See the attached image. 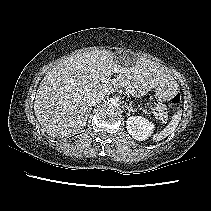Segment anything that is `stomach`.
I'll return each mask as SVG.
<instances>
[{"label":"stomach","instance_id":"obj_1","mask_svg":"<svg viewBox=\"0 0 211 211\" xmlns=\"http://www.w3.org/2000/svg\"><path fill=\"white\" fill-rule=\"evenodd\" d=\"M119 54V53H117ZM116 54V55H117ZM121 56H118L115 58L117 62H119L122 66H130L134 62V58L130 55H127L125 53H120ZM177 92V85L174 81H170L167 83L159 84L155 87V95L158 99V101L162 102L164 100H167L171 98L175 93ZM130 94L134 97H141L145 95L144 89L138 88V89H132Z\"/></svg>","mask_w":211,"mask_h":211}]
</instances>
